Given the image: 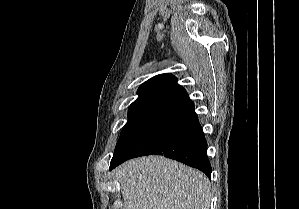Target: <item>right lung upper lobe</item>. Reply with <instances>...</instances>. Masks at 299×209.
Wrapping results in <instances>:
<instances>
[{"mask_svg":"<svg viewBox=\"0 0 299 209\" xmlns=\"http://www.w3.org/2000/svg\"><path fill=\"white\" fill-rule=\"evenodd\" d=\"M181 88L177 84L176 77L171 74L154 76L139 87V97L131 105L143 103L160 105Z\"/></svg>","mask_w":299,"mask_h":209,"instance_id":"right-lung-upper-lobe-1","label":"right lung upper lobe"}]
</instances>
